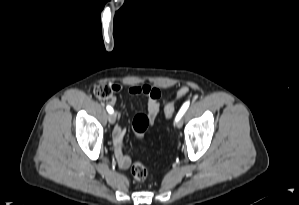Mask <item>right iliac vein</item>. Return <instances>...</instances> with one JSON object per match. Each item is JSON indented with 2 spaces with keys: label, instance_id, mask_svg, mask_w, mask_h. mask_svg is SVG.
<instances>
[{
  "label": "right iliac vein",
  "instance_id": "obj_1",
  "mask_svg": "<svg viewBox=\"0 0 299 205\" xmlns=\"http://www.w3.org/2000/svg\"><path fill=\"white\" fill-rule=\"evenodd\" d=\"M108 120L111 124H114L116 121V114L115 113H110L108 116Z\"/></svg>",
  "mask_w": 299,
  "mask_h": 205
}]
</instances>
